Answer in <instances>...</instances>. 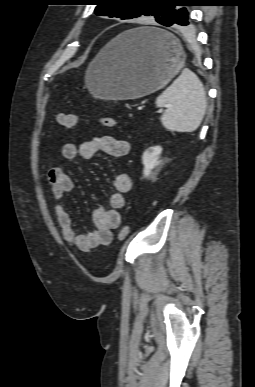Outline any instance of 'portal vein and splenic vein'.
<instances>
[{
	"instance_id": "1",
	"label": "portal vein and splenic vein",
	"mask_w": 255,
	"mask_h": 387,
	"mask_svg": "<svg viewBox=\"0 0 255 387\" xmlns=\"http://www.w3.org/2000/svg\"><path fill=\"white\" fill-rule=\"evenodd\" d=\"M164 107H166V108H167V107H168V105H165Z\"/></svg>"
}]
</instances>
